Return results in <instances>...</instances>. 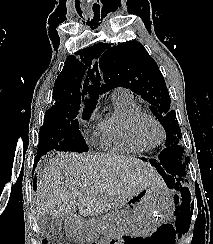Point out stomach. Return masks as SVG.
I'll list each match as a JSON object with an SVG mask.
<instances>
[{
	"label": "stomach",
	"instance_id": "obj_1",
	"mask_svg": "<svg viewBox=\"0 0 213 244\" xmlns=\"http://www.w3.org/2000/svg\"><path fill=\"white\" fill-rule=\"evenodd\" d=\"M131 201L134 206L126 230L141 232L153 229L166 222L172 214V198L163 185L145 188ZM92 225V221H67V230L71 231L73 238L81 241L98 239L101 230L90 229Z\"/></svg>",
	"mask_w": 213,
	"mask_h": 244
}]
</instances>
